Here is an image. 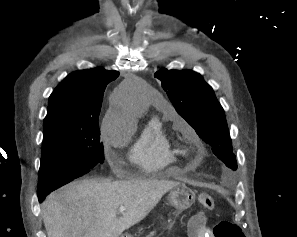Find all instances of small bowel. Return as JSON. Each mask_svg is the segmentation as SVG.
Masks as SVG:
<instances>
[{"mask_svg": "<svg viewBox=\"0 0 297 237\" xmlns=\"http://www.w3.org/2000/svg\"><path fill=\"white\" fill-rule=\"evenodd\" d=\"M191 237H214L210 229L201 224L198 229L195 228L194 224L190 230Z\"/></svg>", "mask_w": 297, "mask_h": 237, "instance_id": "obj_1", "label": "small bowel"}]
</instances>
